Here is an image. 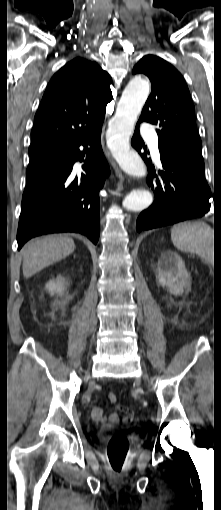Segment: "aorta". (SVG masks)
Instances as JSON below:
<instances>
[{
  "instance_id": "aorta-1",
  "label": "aorta",
  "mask_w": 221,
  "mask_h": 510,
  "mask_svg": "<svg viewBox=\"0 0 221 510\" xmlns=\"http://www.w3.org/2000/svg\"><path fill=\"white\" fill-rule=\"evenodd\" d=\"M150 92L149 82L137 76L124 89L116 113L108 130V147L121 169L133 177H145L146 166L137 152L130 149L129 139L135 122ZM153 201L152 194L143 189L131 191L122 205L130 211H142Z\"/></svg>"
}]
</instances>
